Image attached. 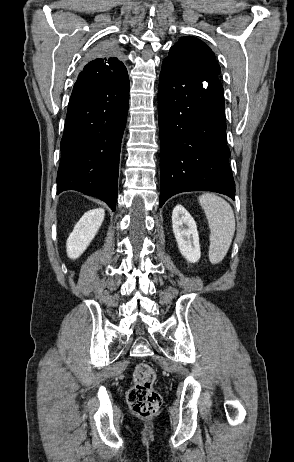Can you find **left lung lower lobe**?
I'll return each mask as SVG.
<instances>
[{
	"label": "left lung lower lobe",
	"mask_w": 294,
	"mask_h": 462,
	"mask_svg": "<svg viewBox=\"0 0 294 462\" xmlns=\"http://www.w3.org/2000/svg\"><path fill=\"white\" fill-rule=\"evenodd\" d=\"M158 100L159 207L185 191H214L235 200L223 87L218 77L163 61Z\"/></svg>",
	"instance_id": "left-lung-lower-lobe-1"
}]
</instances>
